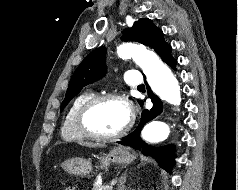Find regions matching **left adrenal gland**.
<instances>
[{
    "instance_id": "obj_1",
    "label": "left adrenal gland",
    "mask_w": 238,
    "mask_h": 190,
    "mask_svg": "<svg viewBox=\"0 0 238 190\" xmlns=\"http://www.w3.org/2000/svg\"><path fill=\"white\" fill-rule=\"evenodd\" d=\"M126 181V175H123L119 180L118 190H125L124 183Z\"/></svg>"
}]
</instances>
